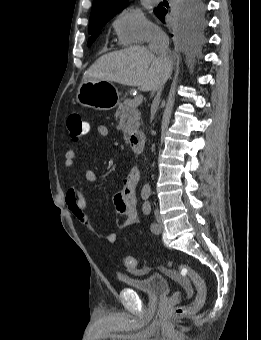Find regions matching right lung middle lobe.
Masks as SVG:
<instances>
[{"label": "right lung middle lobe", "instance_id": "dd1d6c3e", "mask_svg": "<svg viewBox=\"0 0 261 340\" xmlns=\"http://www.w3.org/2000/svg\"><path fill=\"white\" fill-rule=\"evenodd\" d=\"M156 12V10H155ZM112 17H106L92 23H89L88 46H90L101 29ZM179 30L187 38H198L202 35L205 28V7L201 0H186L180 3L178 7Z\"/></svg>", "mask_w": 261, "mask_h": 340}]
</instances>
